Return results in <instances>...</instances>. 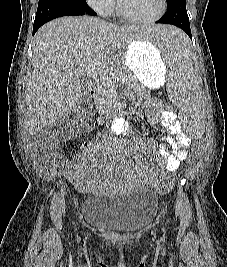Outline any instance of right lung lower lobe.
Returning a JSON list of instances; mask_svg holds the SVG:
<instances>
[{"label": "right lung lower lobe", "instance_id": "obj_1", "mask_svg": "<svg viewBox=\"0 0 227 267\" xmlns=\"http://www.w3.org/2000/svg\"><path fill=\"white\" fill-rule=\"evenodd\" d=\"M89 14L95 16L96 13L87 5L86 1L81 3H67L55 1H40L33 25V35L46 22L62 17Z\"/></svg>", "mask_w": 227, "mask_h": 267}]
</instances>
